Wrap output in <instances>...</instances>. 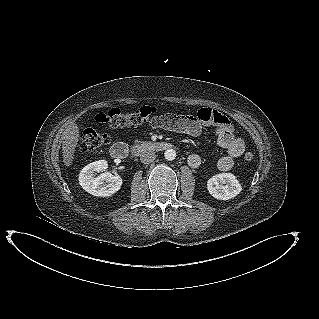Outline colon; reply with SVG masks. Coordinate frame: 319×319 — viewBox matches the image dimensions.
Instances as JSON below:
<instances>
[{
    "label": "colon",
    "mask_w": 319,
    "mask_h": 319,
    "mask_svg": "<svg viewBox=\"0 0 319 319\" xmlns=\"http://www.w3.org/2000/svg\"><path fill=\"white\" fill-rule=\"evenodd\" d=\"M158 112L155 106H143L136 110L123 112L118 108H112L107 112L100 114L99 119L112 127H129L145 123ZM109 143V137L105 133L94 129L85 130L80 136L79 149L83 153H90ZM244 160L251 162L254 160V153L247 151L244 153Z\"/></svg>",
    "instance_id": "5ec220e1"
}]
</instances>
